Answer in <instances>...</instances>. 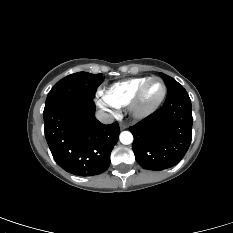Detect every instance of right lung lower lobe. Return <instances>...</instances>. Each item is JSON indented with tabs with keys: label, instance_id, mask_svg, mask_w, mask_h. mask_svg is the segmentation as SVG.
<instances>
[{
	"label": "right lung lower lobe",
	"instance_id": "obj_1",
	"mask_svg": "<svg viewBox=\"0 0 233 233\" xmlns=\"http://www.w3.org/2000/svg\"><path fill=\"white\" fill-rule=\"evenodd\" d=\"M93 99L79 97L44 110L45 136L56 163L78 176L103 173L118 141V123L104 125L95 118Z\"/></svg>",
	"mask_w": 233,
	"mask_h": 233
}]
</instances>
